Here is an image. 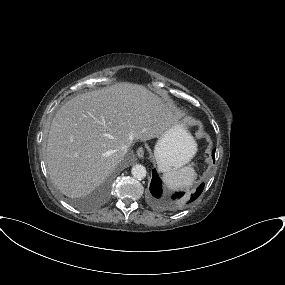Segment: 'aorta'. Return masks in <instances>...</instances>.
I'll return each mask as SVG.
<instances>
[{"instance_id":"aorta-1","label":"aorta","mask_w":285,"mask_h":285,"mask_svg":"<svg viewBox=\"0 0 285 285\" xmlns=\"http://www.w3.org/2000/svg\"><path fill=\"white\" fill-rule=\"evenodd\" d=\"M131 174L134 178L141 180L146 177L147 171L143 165L136 164L132 167Z\"/></svg>"}]
</instances>
